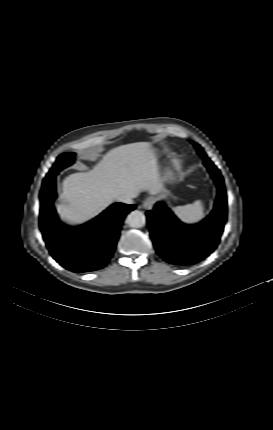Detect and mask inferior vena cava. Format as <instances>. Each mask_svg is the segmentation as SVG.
Instances as JSON below:
<instances>
[{"label": "inferior vena cava", "mask_w": 273, "mask_h": 430, "mask_svg": "<svg viewBox=\"0 0 273 430\" xmlns=\"http://www.w3.org/2000/svg\"><path fill=\"white\" fill-rule=\"evenodd\" d=\"M134 196H130V195H122L118 198V201L122 202V203H126V204H132L133 203V198Z\"/></svg>", "instance_id": "602c4592"}]
</instances>
